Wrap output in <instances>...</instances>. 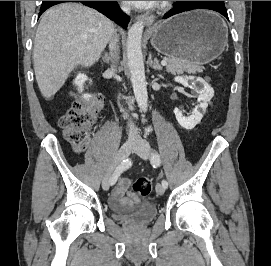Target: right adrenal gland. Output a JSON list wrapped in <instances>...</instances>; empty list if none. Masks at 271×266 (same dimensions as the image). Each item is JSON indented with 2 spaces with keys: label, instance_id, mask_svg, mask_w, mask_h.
<instances>
[{
  "label": "right adrenal gland",
  "instance_id": "1",
  "mask_svg": "<svg viewBox=\"0 0 271 266\" xmlns=\"http://www.w3.org/2000/svg\"><path fill=\"white\" fill-rule=\"evenodd\" d=\"M103 61H104L105 63H109V62H110V57L108 56L107 53H105V55H104V57H103Z\"/></svg>",
  "mask_w": 271,
  "mask_h": 266
}]
</instances>
